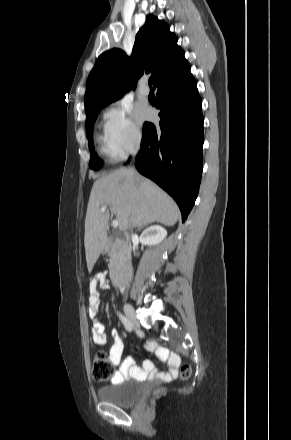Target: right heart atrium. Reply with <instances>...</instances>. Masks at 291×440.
<instances>
[{"mask_svg":"<svg viewBox=\"0 0 291 440\" xmlns=\"http://www.w3.org/2000/svg\"><path fill=\"white\" fill-rule=\"evenodd\" d=\"M104 134L116 158L126 157L137 149L142 135L128 106L118 105L104 114Z\"/></svg>","mask_w":291,"mask_h":440,"instance_id":"right-heart-atrium-1","label":"right heart atrium"}]
</instances>
